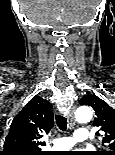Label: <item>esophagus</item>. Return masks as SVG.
<instances>
[{
  "label": "esophagus",
  "mask_w": 115,
  "mask_h": 155,
  "mask_svg": "<svg viewBox=\"0 0 115 155\" xmlns=\"http://www.w3.org/2000/svg\"><path fill=\"white\" fill-rule=\"evenodd\" d=\"M67 119H68V121H69L70 123H73V122H74V119H75V117H74V108H72V109L68 112V114H67Z\"/></svg>",
  "instance_id": "1"
}]
</instances>
